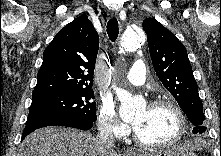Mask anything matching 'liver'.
Segmentation results:
<instances>
[{
    "label": "liver",
    "mask_w": 221,
    "mask_h": 156,
    "mask_svg": "<svg viewBox=\"0 0 221 156\" xmlns=\"http://www.w3.org/2000/svg\"><path fill=\"white\" fill-rule=\"evenodd\" d=\"M194 149L193 145H186ZM19 156H118L90 133L63 127L39 129L21 143Z\"/></svg>",
    "instance_id": "obj_1"
}]
</instances>
